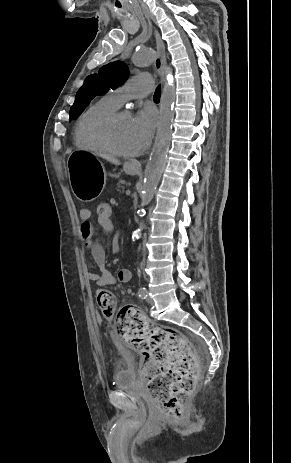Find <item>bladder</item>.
I'll return each instance as SVG.
<instances>
[{
	"label": "bladder",
	"instance_id": "obj_1",
	"mask_svg": "<svg viewBox=\"0 0 291 463\" xmlns=\"http://www.w3.org/2000/svg\"><path fill=\"white\" fill-rule=\"evenodd\" d=\"M133 363V357H120L118 368L115 371V386L117 388H131L136 385V377L132 369Z\"/></svg>",
	"mask_w": 291,
	"mask_h": 463
}]
</instances>
